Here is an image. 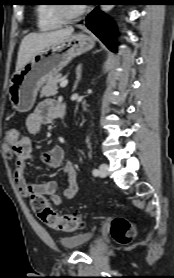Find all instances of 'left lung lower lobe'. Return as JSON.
Masks as SVG:
<instances>
[{
    "mask_svg": "<svg viewBox=\"0 0 174 278\" xmlns=\"http://www.w3.org/2000/svg\"><path fill=\"white\" fill-rule=\"evenodd\" d=\"M102 2H114L103 0ZM86 26L112 51H116V27L110 17L94 9L86 18Z\"/></svg>",
    "mask_w": 174,
    "mask_h": 278,
    "instance_id": "obj_1",
    "label": "left lung lower lobe"
}]
</instances>
